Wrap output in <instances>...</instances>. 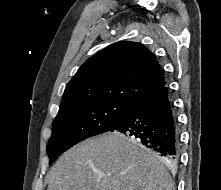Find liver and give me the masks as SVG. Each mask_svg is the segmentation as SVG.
<instances>
[{"mask_svg": "<svg viewBox=\"0 0 221 190\" xmlns=\"http://www.w3.org/2000/svg\"><path fill=\"white\" fill-rule=\"evenodd\" d=\"M140 147L116 132L87 139L56 161L47 190H173L168 170Z\"/></svg>", "mask_w": 221, "mask_h": 190, "instance_id": "liver-1", "label": "liver"}]
</instances>
